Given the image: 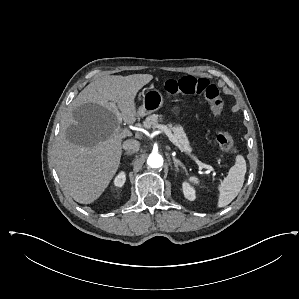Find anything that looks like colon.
I'll return each instance as SVG.
<instances>
[{
    "label": "colon",
    "instance_id": "obj_1",
    "mask_svg": "<svg viewBox=\"0 0 299 299\" xmlns=\"http://www.w3.org/2000/svg\"><path fill=\"white\" fill-rule=\"evenodd\" d=\"M162 87L170 94L202 95L209 102L212 113L221 118L223 101L216 85L206 78L185 76L179 79H167L162 82ZM217 142L224 153L233 149V135L225 126L220 127L217 133Z\"/></svg>",
    "mask_w": 299,
    "mask_h": 299
}]
</instances>
